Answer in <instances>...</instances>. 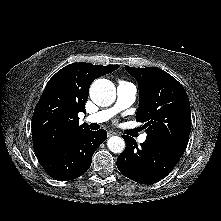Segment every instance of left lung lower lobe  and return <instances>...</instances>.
<instances>
[{
	"mask_svg": "<svg viewBox=\"0 0 221 221\" xmlns=\"http://www.w3.org/2000/svg\"><path fill=\"white\" fill-rule=\"evenodd\" d=\"M122 137L126 148L117 159V167L124 176L138 183L152 184L161 180L182 157L153 141L146 139L138 147L135 139Z\"/></svg>",
	"mask_w": 221,
	"mask_h": 221,
	"instance_id": "1",
	"label": "left lung lower lobe"
}]
</instances>
